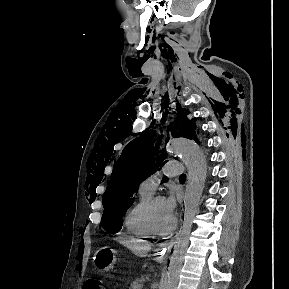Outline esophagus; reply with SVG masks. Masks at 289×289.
I'll return each instance as SVG.
<instances>
[{"label":"esophagus","instance_id":"esophagus-1","mask_svg":"<svg viewBox=\"0 0 289 289\" xmlns=\"http://www.w3.org/2000/svg\"><path fill=\"white\" fill-rule=\"evenodd\" d=\"M179 233H176L173 237L170 239L160 243L156 248V254L160 258H164L168 255V253L171 251L176 238L178 237Z\"/></svg>","mask_w":289,"mask_h":289}]
</instances>
